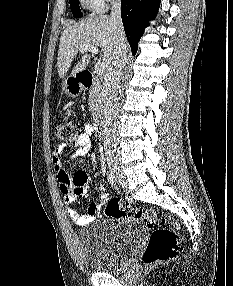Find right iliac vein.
I'll return each mask as SVG.
<instances>
[{"instance_id": "obj_1", "label": "right iliac vein", "mask_w": 233, "mask_h": 286, "mask_svg": "<svg viewBox=\"0 0 233 286\" xmlns=\"http://www.w3.org/2000/svg\"><path fill=\"white\" fill-rule=\"evenodd\" d=\"M108 165L115 178L119 181L120 184H122L123 187H125L127 183L126 177L123 174L118 161L115 158H110L108 159Z\"/></svg>"}]
</instances>
